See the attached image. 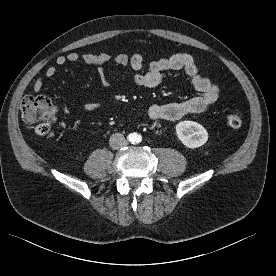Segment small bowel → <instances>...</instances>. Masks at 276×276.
<instances>
[{
	"instance_id": "c3829d8e",
	"label": "small bowel",
	"mask_w": 276,
	"mask_h": 276,
	"mask_svg": "<svg viewBox=\"0 0 276 276\" xmlns=\"http://www.w3.org/2000/svg\"><path fill=\"white\" fill-rule=\"evenodd\" d=\"M78 61L95 65L101 82L106 88L110 87V83L106 75L105 65L110 62L119 66L131 67L136 71L133 76V82L145 88H154L160 85L163 80V72L165 71L184 72L190 77L199 95L179 103L151 105L147 110V115L153 120L173 121L188 114L204 112L216 102L219 96L218 86L200 74L199 67L194 58L187 53H176L167 57H161L145 67L144 57L140 54L129 56L120 53L112 56L107 52L99 54L84 53L81 55L76 52H70L66 55L58 56L55 59L56 65L48 66L45 69V75L47 77H53L57 73V66H63L68 62L76 63ZM43 85V79L38 78L33 83V90L40 92ZM99 107V102H86L84 104L86 110H95Z\"/></svg>"
}]
</instances>
